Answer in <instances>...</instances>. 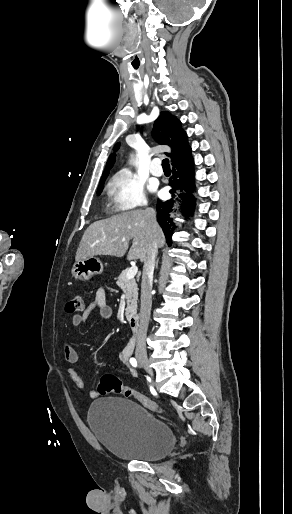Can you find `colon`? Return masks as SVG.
<instances>
[{"instance_id":"obj_1","label":"colon","mask_w":292,"mask_h":514,"mask_svg":"<svg viewBox=\"0 0 292 514\" xmlns=\"http://www.w3.org/2000/svg\"><path fill=\"white\" fill-rule=\"evenodd\" d=\"M84 300L81 295L74 296L71 300H69L66 304V311L68 313H77L83 310ZM98 388L101 394H116V395H124L126 397L133 395L135 401L142 404L145 408L155 411L161 412L162 407L156 403L151 398L140 394L139 392H135L134 388L131 384H124L122 380H120L117 376L113 374H105L103 375L98 382Z\"/></svg>"}]
</instances>
